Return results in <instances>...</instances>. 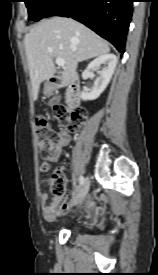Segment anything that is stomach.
Instances as JSON below:
<instances>
[{
	"label": "stomach",
	"instance_id": "1",
	"mask_svg": "<svg viewBox=\"0 0 158 275\" xmlns=\"http://www.w3.org/2000/svg\"><path fill=\"white\" fill-rule=\"evenodd\" d=\"M48 91H47V89L45 88V93H47Z\"/></svg>",
	"mask_w": 158,
	"mask_h": 275
}]
</instances>
